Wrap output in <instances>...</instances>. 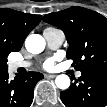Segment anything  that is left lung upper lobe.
I'll use <instances>...</instances> for the list:
<instances>
[{
  "instance_id": "obj_1",
  "label": "left lung upper lobe",
  "mask_w": 107,
  "mask_h": 107,
  "mask_svg": "<svg viewBox=\"0 0 107 107\" xmlns=\"http://www.w3.org/2000/svg\"><path fill=\"white\" fill-rule=\"evenodd\" d=\"M61 28L69 43L67 58L81 72L107 74V19L92 10L71 7L43 17Z\"/></svg>"
}]
</instances>
